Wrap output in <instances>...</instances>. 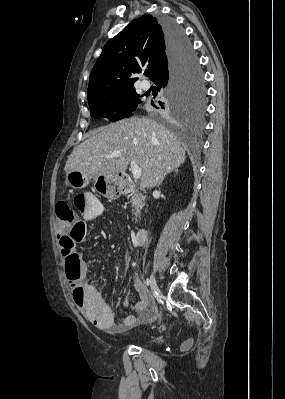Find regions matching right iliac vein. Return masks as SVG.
<instances>
[{
    "label": "right iliac vein",
    "mask_w": 285,
    "mask_h": 399,
    "mask_svg": "<svg viewBox=\"0 0 285 399\" xmlns=\"http://www.w3.org/2000/svg\"><path fill=\"white\" fill-rule=\"evenodd\" d=\"M150 288H151L152 292L158 290L157 283H156V280H155V276H154L153 273L150 276Z\"/></svg>",
    "instance_id": "1"
}]
</instances>
